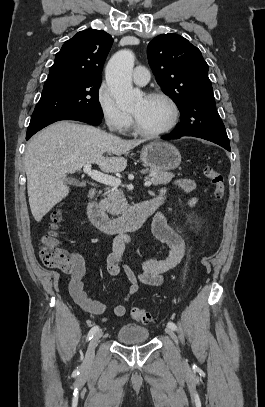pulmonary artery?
<instances>
[{
  "mask_svg": "<svg viewBox=\"0 0 265 407\" xmlns=\"http://www.w3.org/2000/svg\"><path fill=\"white\" fill-rule=\"evenodd\" d=\"M132 78L135 84L143 86L150 80V72L144 66H137L132 74Z\"/></svg>",
  "mask_w": 265,
  "mask_h": 407,
  "instance_id": "pulmonary-artery-1",
  "label": "pulmonary artery"
}]
</instances>
